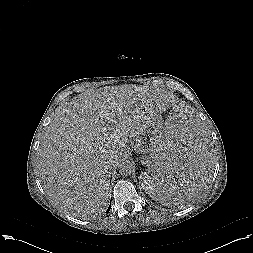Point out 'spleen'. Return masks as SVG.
<instances>
[{
    "instance_id": "1",
    "label": "spleen",
    "mask_w": 253,
    "mask_h": 253,
    "mask_svg": "<svg viewBox=\"0 0 253 253\" xmlns=\"http://www.w3.org/2000/svg\"><path fill=\"white\" fill-rule=\"evenodd\" d=\"M140 173V186L153 200L177 204L192 199L210 180V139L203 116L176 108L165 118Z\"/></svg>"
}]
</instances>
